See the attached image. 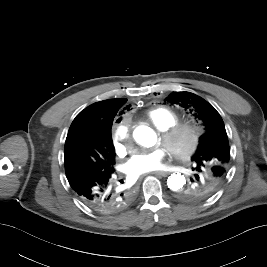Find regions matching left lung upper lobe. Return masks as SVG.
I'll return each instance as SVG.
<instances>
[{"label":"left lung upper lobe","instance_id":"5c2ea615","mask_svg":"<svg viewBox=\"0 0 267 267\" xmlns=\"http://www.w3.org/2000/svg\"><path fill=\"white\" fill-rule=\"evenodd\" d=\"M166 100L189 109L205 130L191 158L194 178L178 191L177 196L185 201L207 198L218 190L229 170L230 148L223 120L212 105L196 94L172 92Z\"/></svg>","mask_w":267,"mask_h":267}]
</instances>
